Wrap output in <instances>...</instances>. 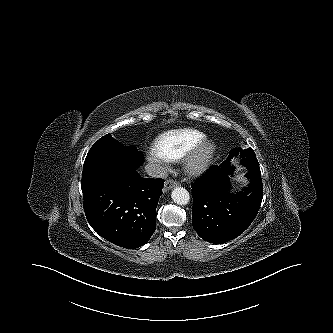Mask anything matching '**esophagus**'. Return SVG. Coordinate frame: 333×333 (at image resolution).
<instances>
[{"instance_id": "34e87169", "label": "esophagus", "mask_w": 333, "mask_h": 333, "mask_svg": "<svg viewBox=\"0 0 333 333\" xmlns=\"http://www.w3.org/2000/svg\"><path fill=\"white\" fill-rule=\"evenodd\" d=\"M178 182L177 181H174V180H172V179H170V180H167L166 182H165V184H164V188H163V190L166 192V191H169V190H171L172 188H174V187H176V186H178Z\"/></svg>"}]
</instances>
